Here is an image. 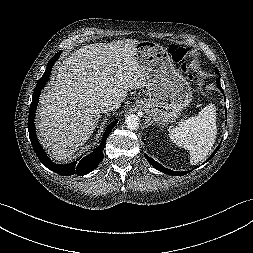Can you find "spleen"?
Returning a JSON list of instances; mask_svg holds the SVG:
<instances>
[{
	"mask_svg": "<svg viewBox=\"0 0 253 253\" xmlns=\"http://www.w3.org/2000/svg\"><path fill=\"white\" fill-rule=\"evenodd\" d=\"M173 143L190 151V163L202 161L211 151L216 135V107L208 104L197 115L181 120L178 127L169 128Z\"/></svg>",
	"mask_w": 253,
	"mask_h": 253,
	"instance_id": "obj_1",
	"label": "spleen"
}]
</instances>
